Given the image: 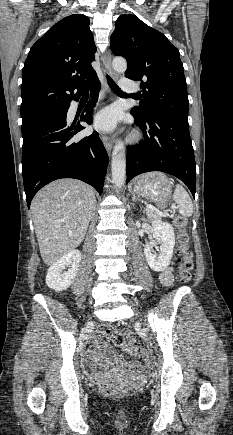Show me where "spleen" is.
Returning a JSON list of instances; mask_svg holds the SVG:
<instances>
[{
	"label": "spleen",
	"instance_id": "1",
	"mask_svg": "<svg viewBox=\"0 0 233 435\" xmlns=\"http://www.w3.org/2000/svg\"><path fill=\"white\" fill-rule=\"evenodd\" d=\"M173 200L179 206V213L184 217H190L193 213V204L187 191L181 186L177 185L173 194Z\"/></svg>",
	"mask_w": 233,
	"mask_h": 435
}]
</instances>
